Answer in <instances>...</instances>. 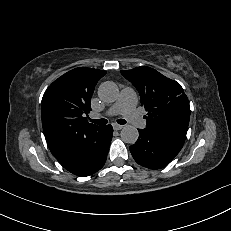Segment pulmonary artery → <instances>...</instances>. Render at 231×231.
Here are the masks:
<instances>
[{"mask_svg":"<svg viewBox=\"0 0 231 231\" xmlns=\"http://www.w3.org/2000/svg\"><path fill=\"white\" fill-rule=\"evenodd\" d=\"M137 95L131 88H124L117 101L112 104L103 114L93 113L92 118H99L102 116L123 115L135 127L144 129L146 121L140 116L136 109Z\"/></svg>","mask_w":231,"mask_h":231,"instance_id":"pulmonary-artery-1","label":"pulmonary artery"}]
</instances>
